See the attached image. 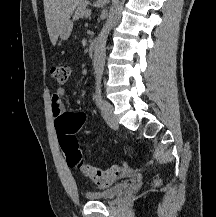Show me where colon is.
Returning a JSON list of instances; mask_svg holds the SVG:
<instances>
[{
  "label": "colon",
  "mask_w": 216,
  "mask_h": 217,
  "mask_svg": "<svg viewBox=\"0 0 216 217\" xmlns=\"http://www.w3.org/2000/svg\"><path fill=\"white\" fill-rule=\"evenodd\" d=\"M51 74L58 83L65 84L70 76V67L67 63H56L51 68ZM85 122L86 114L83 112L63 114L56 122L58 141L70 167L79 168L83 175L93 179L98 186L105 187L122 175L127 167L112 166L101 170L83 164L82 152L75 134Z\"/></svg>",
  "instance_id": "obj_1"
}]
</instances>
